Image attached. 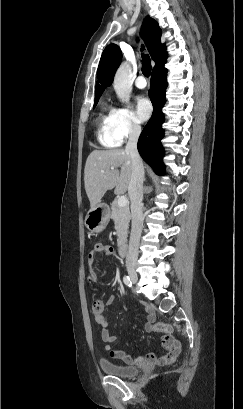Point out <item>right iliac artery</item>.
Segmentation results:
<instances>
[{
	"mask_svg": "<svg viewBox=\"0 0 243 409\" xmlns=\"http://www.w3.org/2000/svg\"><path fill=\"white\" fill-rule=\"evenodd\" d=\"M123 282H124L127 286H129V287H131V285H132V282H131L129 276H126V275H125V276L123 277Z\"/></svg>",
	"mask_w": 243,
	"mask_h": 409,
	"instance_id": "right-iliac-artery-1",
	"label": "right iliac artery"
}]
</instances>
